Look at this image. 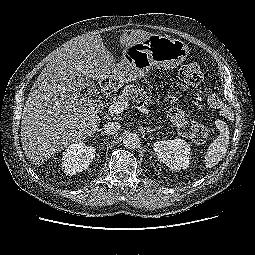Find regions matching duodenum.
Masks as SVG:
<instances>
[{
    "label": "duodenum",
    "instance_id": "duodenum-1",
    "mask_svg": "<svg viewBox=\"0 0 255 255\" xmlns=\"http://www.w3.org/2000/svg\"><path fill=\"white\" fill-rule=\"evenodd\" d=\"M102 87H103V88H106V87H107V83H103V84H102Z\"/></svg>",
    "mask_w": 255,
    "mask_h": 255
}]
</instances>
